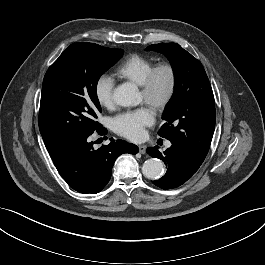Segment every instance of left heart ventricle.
<instances>
[{
  "mask_svg": "<svg viewBox=\"0 0 265 265\" xmlns=\"http://www.w3.org/2000/svg\"><path fill=\"white\" fill-rule=\"evenodd\" d=\"M167 84H168L167 73L165 72L160 73L157 80V91L159 93H162L166 89ZM141 99L144 101V96L142 93H141Z\"/></svg>",
  "mask_w": 265,
  "mask_h": 265,
  "instance_id": "left-heart-ventricle-1",
  "label": "left heart ventricle"
}]
</instances>
